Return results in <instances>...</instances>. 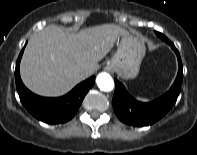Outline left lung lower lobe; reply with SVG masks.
I'll list each match as a JSON object with an SVG mask.
<instances>
[{"label": "left lung lower lobe", "mask_w": 197, "mask_h": 155, "mask_svg": "<svg viewBox=\"0 0 197 155\" xmlns=\"http://www.w3.org/2000/svg\"><path fill=\"white\" fill-rule=\"evenodd\" d=\"M165 42L175 51L179 67L174 84L163 96L151 102H139L128 94L122 83L115 79L113 108L123 123L138 127L151 125L161 119L175 104L181 89L183 66L178 50L167 38Z\"/></svg>", "instance_id": "0a47b994"}]
</instances>
